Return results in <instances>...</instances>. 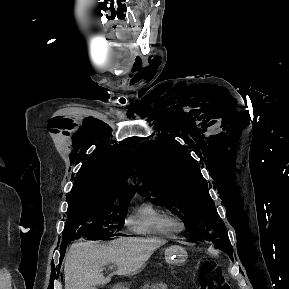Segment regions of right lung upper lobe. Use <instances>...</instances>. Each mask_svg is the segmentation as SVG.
<instances>
[{
  "instance_id": "right-lung-upper-lobe-1",
  "label": "right lung upper lobe",
  "mask_w": 289,
  "mask_h": 289,
  "mask_svg": "<svg viewBox=\"0 0 289 289\" xmlns=\"http://www.w3.org/2000/svg\"><path fill=\"white\" fill-rule=\"evenodd\" d=\"M129 155L122 145L96 149L78 171L71 199L100 196L131 198L134 187L126 183Z\"/></svg>"
}]
</instances>
